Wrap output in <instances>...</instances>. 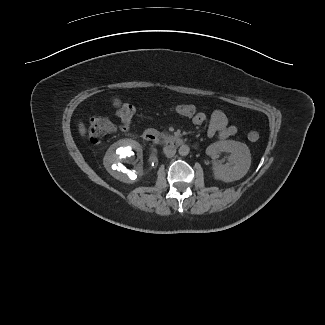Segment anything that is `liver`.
Returning <instances> with one entry per match:
<instances>
[{
    "mask_svg": "<svg viewBox=\"0 0 325 325\" xmlns=\"http://www.w3.org/2000/svg\"><path fill=\"white\" fill-rule=\"evenodd\" d=\"M120 103H121V101L118 98H116L115 101H114V105L119 106ZM78 130H79V133H80V135L82 137L86 136V127H85V124L82 121H79Z\"/></svg>",
    "mask_w": 325,
    "mask_h": 325,
    "instance_id": "obj_1",
    "label": "liver"
}]
</instances>
